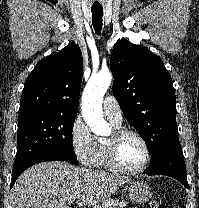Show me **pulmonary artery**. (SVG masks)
<instances>
[{
  "label": "pulmonary artery",
  "mask_w": 199,
  "mask_h": 208,
  "mask_svg": "<svg viewBox=\"0 0 199 208\" xmlns=\"http://www.w3.org/2000/svg\"><path fill=\"white\" fill-rule=\"evenodd\" d=\"M103 111L105 116L116 126H120L123 121L121 108L113 96H107L103 101Z\"/></svg>",
  "instance_id": "pulmonary-artery-1"
}]
</instances>
